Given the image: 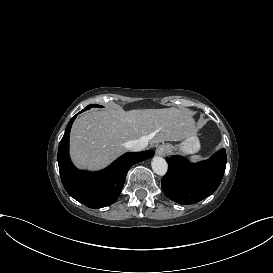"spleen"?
Segmentation results:
<instances>
[{
  "instance_id": "1",
  "label": "spleen",
  "mask_w": 273,
  "mask_h": 273,
  "mask_svg": "<svg viewBox=\"0 0 273 273\" xmlns=\"http://www.w3.org/2000/svg\"><path fill=\"white\" fill-rule=\"evenodd\" d=\"M200 159H202V157H201L200 155H194V156L191 157V160H192L193 162H196V161H198V160H200Z\"/></svg>"
}]
</instances>
